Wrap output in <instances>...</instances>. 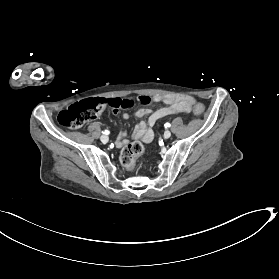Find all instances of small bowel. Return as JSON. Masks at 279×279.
Returning a JSON list of instances; mask_svg holds the SVG:
<instances>
[{
    "instance_id": "1",
    "label": "small bowel",
    "mask_w": 279,
    "mask_h": 279,
    "mask_svg": "<svg viewBox=\"0 0 279 279\" xmlns=\"http://www.w3.org/2000/svg\"><path fill=\"white\" fill-rule=\"evenodd\" d=\"M154 101L164 102L167 106L159 108L155 111L145 108L139 109L136 112V117L142 119L145 115H149L147 123L140 120L131 134H128L125 130L120 131L115 141L116 147H123L130 141V139H138L143 142L150 143L154 137L151 127L154 126L158 120L173 114L188 113L194 102L191 97L176 98L164 95H156L154 97ZM123 118L128 119L129 114L127 112L123 113Z\"/></svg>"
}]
</instances>
